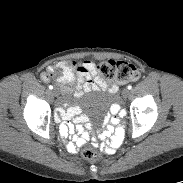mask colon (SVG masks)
Instances as JSON below:
<instances>
[{
  "mask_svg": "<svg viewBox=\"0 0 183 183\" xmlns=\"http://www.w3.org/2000/svg\"><path fill=\"white\" fill-rule=\"evenodd\" d=\"M97 70L104 78L117 82L126 83L137 81L140 78V70L137 65L122 60H105L97 65ZM52 75V73H49ZM84 158L91 161H98L100 159L91 146H85L82 149Z\"/></svg>",
  "mask_w": 183,
  "mask_h": 183,
  "instance_id": "obj_1",
  "label": "colon"
}]
</instances>
